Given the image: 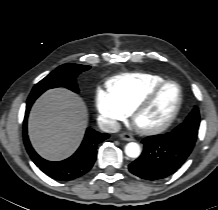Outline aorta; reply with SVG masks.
I'll return each mask as SVG.
<instances>
[{
  "instance_id": "762f6f07",
  "label": "aorta",
  "mask_w": 218,
  "mask_h": 210,
  "mask_svg": "<svg viewBox=\"0 0 218 210\" xmlns=\"http://www.w3.org/2000/svg\"><path fill=\"white\" fill-rule=\"evenodd\" d=\"M125 153L130 158H137L141 153L140 146L135 142H130L125 146Z\"/></svg>"
}]
</instances>
